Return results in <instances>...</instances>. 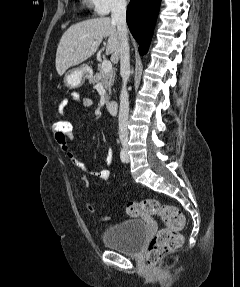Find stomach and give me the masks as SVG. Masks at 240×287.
Wrapping results in <instances>:
<instances>
[{
	"mask_svg": "<svg viewBox=\"0 0 240 287\" xmlns=\"http://www.w3.org/2000/svg\"><path fill=\"white\" fill-rule=\"evenodd\" d=\"M91 69L87 65L74 68L68 71L65 75V84L70 88H77L81 86L85 79L90 76Z\"/></svg>",
	"mask_w": 240,
	"mask_h": 287,
	"instance_id": "1",
	"label": "stomach"
}]
</instances>
